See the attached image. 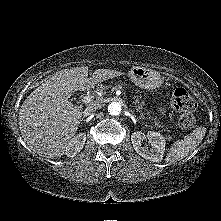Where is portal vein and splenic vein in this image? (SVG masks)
<instances>
[{
    "instance_id": "portal-vein-and-splenic-vein-1",
    "label": "portal vein and splenic vein",
    "mask_w": 221,
    "mask_h": 221,
    "mask_svg": "<svg viewBox=\"0 0 221 221\" xmlns=\"http://www.w3.org/2000/svg\"><path fill=\"white\" fill-rule=\"evenodd\" d=\"M93 100V96L92 95H87L85 97H83L82 102L83 103H89Z\"/></svg>"
}]
</instances>
